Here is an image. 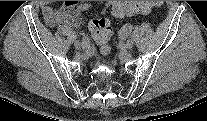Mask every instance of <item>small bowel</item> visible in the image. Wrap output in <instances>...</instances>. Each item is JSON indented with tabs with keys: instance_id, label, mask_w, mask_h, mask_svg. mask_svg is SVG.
Segmentation results:
<instances>
[{
	"instance_id": "small-bowel-1",
	"label": "small bowel",
	"mask_w": 207,
	"mask_h": 121,
	"mask_svg": "<svg viewBox=\"0 0 207 121\" xmlns=\"http://www.w3.org/2000/svg\"><path fill=\"white\" fill-rule=\"evenodd\" d=\"M117 1H111L108 6L113 7ZM52 1L42 3V14L50 27L64 25L75 28L80 24L84 12L90 9V4L78 1H64L60 8H54Z\"/></svg>"
}]
</instances>
